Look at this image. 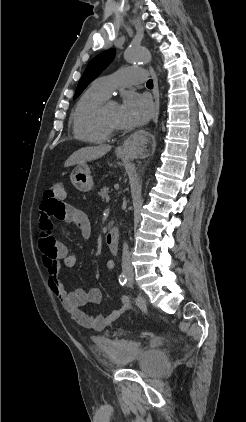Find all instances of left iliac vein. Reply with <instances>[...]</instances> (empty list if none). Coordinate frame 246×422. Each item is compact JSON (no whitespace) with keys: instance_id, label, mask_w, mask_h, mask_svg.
I'll return each mask as SVG.
<instances>
[{"instance_id":"1","label":"left iliac vein","mask_w":246,"mask_h":422,"mask_svg":"<svg viewBox=\"0 0 246 422\" xmlns=\"http://www.w3.org/2000/svg\"><path fill=\"white\" fill-rule=\"evenodd\" d=\"M128 284H129V286H132V283H131L130 281H129V283H128Z\"/></svg>"}]
</instances>
